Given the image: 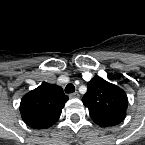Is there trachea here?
Masks as SVG:
<instances>
[{
	"mask_svg": "<svg viewBox=\"0 0 145 145\" xmlns=\"http://www.w3.org/2000/svg\"><path fill=\"white\" fill-rule=\"evenodd\" d=\"M75 91V86L72 83H69L66 87H65V92L66 93H73Z\"/></svg>",
	"mask_w": 145,
	"mask_h": 145,
	"instance_id": "obj_1",
	"label": "trachea"
}]
</instances>
